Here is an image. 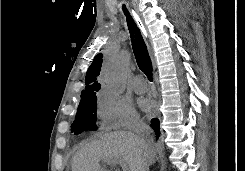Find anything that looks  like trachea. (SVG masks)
<instances>
[{"label":"trachea","mask_w":245,"mask_h":171,"mask_svg":"<svg viewBox=\"0 0 245 171\" xmlns=\"http://www.w3.org/2000/svg\"><path fill=\"white\" fill-rule=\"evenodd\" d=\"M122 9L126 17L127 25L130 30L133 52L137 64L140 70L144 72V74L148 77L150 81H152V62L148 54L146 44L143 40L139 28L137 27L135 21L133 20L127 8L123 5Z\"/></svg>","instance_id":"1"}]
</instances>
